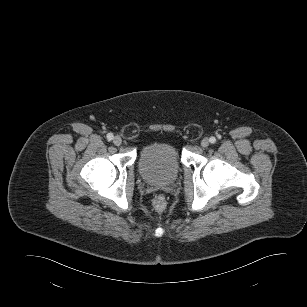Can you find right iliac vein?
Segmentation results:
<instances>
[{
    "label": "right iliac vein",
    "mask_w": 307,
    "mask_h": 307,
    "mask_svg": "<svg viewBox=\"0 0 307 307\" xmlns=\"http://www.w3.org/2000/svg\"><path fill=\"white\" fill-rule=\"evenodd\" d=\"M113 143H114L116 146H120L121 143H122V139H121L119 136H115L114 139H113Z\"/></svg>",
    "instance_id": "right-iliac-vein-1"
}]
</instances>
